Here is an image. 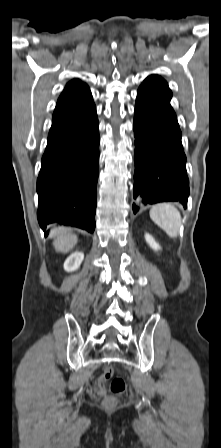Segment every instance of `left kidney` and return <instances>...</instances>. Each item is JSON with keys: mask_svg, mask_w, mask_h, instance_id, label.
<instances>
[{"mask_svg": "<svg viewBox=\"0 0 221 448\" xmlns=\"http://www.w3.org/2000/svg\"><path fill=\"white\" fill-rule=\"evenodd\" d=\"M145 239L148 245L155 251L160 250L159 244L154 240L150 234H145Z\"/></svg>", "mask_w": 221, "mask_h": 448, "instance_id": "obj_1", "label": "left kidney"}]
</instances>
